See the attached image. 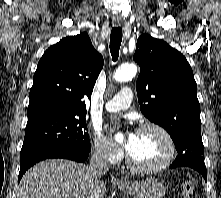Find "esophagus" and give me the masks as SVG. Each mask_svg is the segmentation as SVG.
<instances>
[{"label":"esophagus","mask_w":221,"mask_h":198,"mask_svg":"<svg viewBox=\"0 0 221 198\" xmlns=\"http://www.w3.org/2000/svg\"><path fill=\"white\" fill-rule=\"evenodd\" d=\"M117 181H121L120 179H116Z\"/></svg>","instance_id":"obj_1"}]
</instances>
